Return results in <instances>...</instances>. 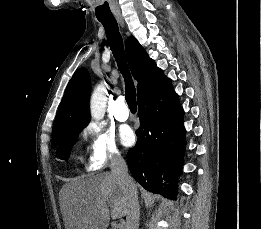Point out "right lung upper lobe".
<instances>
[{
    "label": "right lung upper lobe",
    "instance_id": "obj_1",
    "mask_svg": "<svg viewBox=\"0 0 261 229\" xmlns=\"http://www.w3.org/2000/svg\"><path fill=\"white\" fill-rule=\"evenodd\" d=\"M126 54L133 77L138 81V97L156 87L166 78L139 42L130 36L126 40ZM90 76L85 68L78 69L65 90L52 132V148L63 142L59 129L65 126L87 125L89 111Z\"/></svg>",
    "mask_w": 261,
    "mask_h": 229
}]
</instances>
